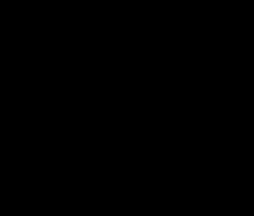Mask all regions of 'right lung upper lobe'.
<instances>
[{"mask_svg": "<svg viewBox=\"0 0 254 216\" xmlns=\"http://www.w3.org/2000/svg\"><path fill=\"white\" fill-rule=\"evenodd\" d=\"M130 52V45L121 44L114 46L82 47L73 53L86 54L89 61L98 65L101 74L104 76L108 71L119 65Z\"/></svg>", "mask_w": 254, "mask_h": 216, "instance_id": "obj_1", "label": "right lung upper lobe"}]
</instances>
